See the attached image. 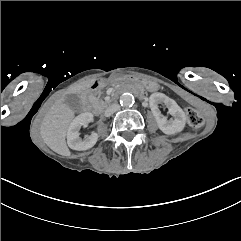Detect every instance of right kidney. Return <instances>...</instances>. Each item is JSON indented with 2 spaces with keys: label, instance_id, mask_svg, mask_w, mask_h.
<instances>
[{
  "label": "right kidney",
  "instance_id": "1",
  "mask_svg": "<svg viewBox=\"0 0 241 241\" xmlns=\"http://www.w3.org/2000/svg\"><path fill=\"white\" fill-rule=\"evenodd\" d=\"M90 122H93V114L86 112L76 116L70 123L67 131V143L71 149L82 151L87 150L96 144L98 134L95 132L84 139L79 137V130L81 126H87Z\"/></svg>",
  "mask_w": 241,
  "mask_h": 241
}]
</instances>
